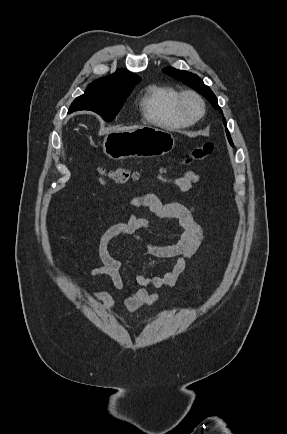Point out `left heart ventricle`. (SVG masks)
I'll return each instance as SVG.
<instances>
[{
  "instance_id": "b2bd125f",
  "label": "left heart ventricle",
  "mask_w": 287,
  "mask_h": 434,
  "mask_svg": "<svg viewBox=\"0 0 287 434\" xmlns=\"http://www.w3.org/2000/svg\"><path fill=\"white\" fill-rule=\"evenodd\" d=\"M186 107H187L188 111L191 113H197V111H198V105L193 100L187 101Z\"/></svg>"
}]
</instances>
